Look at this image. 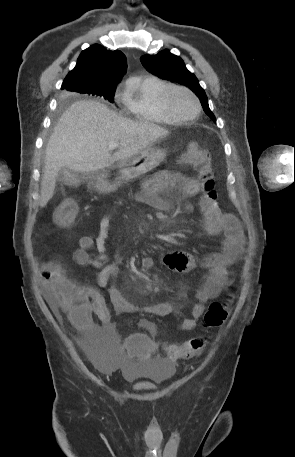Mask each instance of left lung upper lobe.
Segmentation results:
<instances>
[{
    "label": "left lung upper lobe",
    "mask_w": 295,
    "mask_h": 457,
    "mask_svg": "<svg viewBox=\"0 0 295 457\" xmlns=\"http://www.w3.org/2000/svg\"><path fill=\"white\" fill-rule=\"evenodd\" d=\"M140 60L145 69L153 75L162 79L173 80L189 87L200 98L205 113L216 121L215 116L209 109L205 91L200 86L196 76L187 70L184 61L180 57L171 54L169 50H163L156 55H143Z\"/></svg>",
    "instance_id": "1"
}]
</instances>
